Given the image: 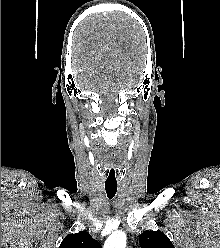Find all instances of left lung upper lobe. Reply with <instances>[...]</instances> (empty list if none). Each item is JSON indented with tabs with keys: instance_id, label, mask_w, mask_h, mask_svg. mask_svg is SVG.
Instances as JSON below:
<instances>
[{
	"instance_id": "5c2ea615",
	"label": "left lung upper lobe",
	"mask_w": 220,
	"mask_h": 248,
	"mask_svg": "<svg viewBox=\"0 0 220 248\" xmlns=\"http://www.w3.org/2000/svg\"><path fill=\"white\" fill-rule=\"evenodd\" d=\"M142 248H175L169 238L159 231H145L139 236Z\"/></svg>"
}]
</instances>
